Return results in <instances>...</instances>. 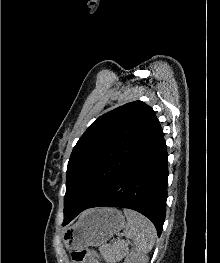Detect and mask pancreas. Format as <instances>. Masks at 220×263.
<instances>
[{
    "label": "pancreas",
    "mask_w": 220,
    "mask_h": 263,
    "mask_svg": "<svg viewBox=\"0 0 220 263\" xmlns=\"http://www.w3.org/2000/svg\"><path fill=\"white\" fill-rule=\"evenodd\" d=\"M99 250L105 260L114 263L116 260L122 258L123 245L122 243H114L113 245L103 246Z\"/></svg>",
    "instance_id": "1"
}]
</instances>
